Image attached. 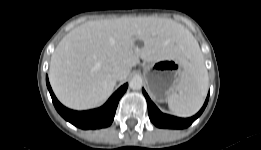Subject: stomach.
Returning <instances> with one entry per match:
<instances>
[{"label":"stomach","instance_id":"0dacf381","mask_svg":"<svg viewBox=\"0 0 261 150\" xmlns=\"http://www.w3.org/2000/svg\"><path fill=\"white\" fill-rule=\"evenodd\" d=\"M184 69V63L179 58L146 64L143 73L151 96L158 102L166 101L176 90Z\"/></svg>","mask_w":261,"mask_h":150}]
</instances>
